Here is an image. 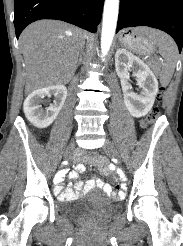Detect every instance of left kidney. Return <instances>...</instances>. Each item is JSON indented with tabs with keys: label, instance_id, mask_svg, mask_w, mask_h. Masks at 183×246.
Here are the masks:
<instances>
[{
	"label": "left kidney",
	"instance_id": "left-kidney-1",
	"mask_svg": "<svg viewBox=\"0 0 183 246\" xmlns=\"http://www.w3.org/2000/svg\"><path fill=\"white\" fill-rule=\"evenodd\" d=\"M115 68L121 80L124 103L129 113L136 118L148 114L158 92V81L149 66L128 50L120 48L115 54ZM130 70L137 78V85L141 89L139 94L132 91L128 82Z\"/></svg>",
	"mask_w": 183,
	"mask_h": 246
}]
</instances>
